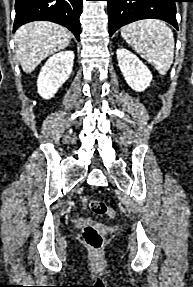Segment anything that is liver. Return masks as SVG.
Listing matches in <instances>:
<instances>
[{"instance_id": "liver-1", "label": "liver", "mask_w": 193, "mask_h": 287, "mask_svg": "<svg viewBox=\"0 0 193 287\" xmlns=\"http://www.w3.org/2000/svg\"><path fill=\"white\" fill-rule=\"evenodd\" d=\"M71 32L56 23L35 21L20 27L15 35L16 56L27 74L49 55L65 49L71 41Z\"/></svg>"}]
</instances>
